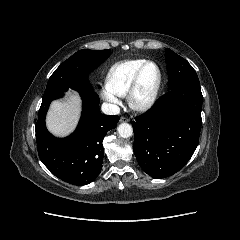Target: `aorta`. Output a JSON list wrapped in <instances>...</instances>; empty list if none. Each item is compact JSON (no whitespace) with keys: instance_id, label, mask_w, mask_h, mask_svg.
<instances>
[{"instance_id":"obj_1","label":"aorta","mask_w":240,"mask_h":240,"mask_svg":"<svg viewBox=\"0 0 240 240\" xmlns=\"http://www.w3.org/2000/svg\"><path fill=\"white\" fill-rule=\"evenodd\" d=\"M117 132H118L120 137L129 138L133 134V128L128 123H121L117 128Z\"/></svg>"}]
</instances>
